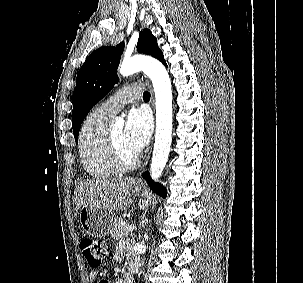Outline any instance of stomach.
<instances>
[{
  "instance_id": "obj_1",
  "label": "stomach",
  "mask_w": 303,
  "mask_h": 283,
  "mask_svg": "<svg viewBox=\"0 0 303 283\" xmlns=\"http://www.w3.org/2000/svg\"><path fill=\"white\" fill-rule=\"evenodd\" d=\"M132 194L139 196L141 190L135 187ZM113 219V213L102 208L83 206L79 210V222L83 232L94 237L106 236L111 230Z\"/></svg>"
}]
</instances>
